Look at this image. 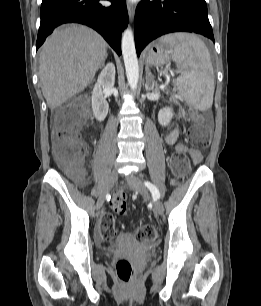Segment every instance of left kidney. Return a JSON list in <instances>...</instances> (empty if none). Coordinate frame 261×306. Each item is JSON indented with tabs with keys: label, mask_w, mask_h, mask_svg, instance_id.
I'll return each instance as SVG.
<instances>
[{
	"label": "left kidney",
	"mask_w": 261,
	"mask_h": 306,
	"mask_svg": "<svg viewBox=\"0 0 261 306\" xmlns=\"http://www.w3.org/2000/svg\"><path fill=\"white\" fill-rule=\"evenodd\" d=\"M173 115V110L170 107L162 108L158 113V121L162 126H168Z\"/></svg>",
	"instance_id": "5707ae66"
}]
</instances>
